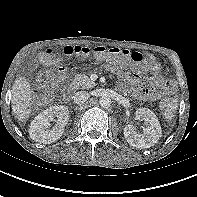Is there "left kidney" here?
Listing matches in <instances>:
<instances>
[{
  "label": "left kidney",
  "instance_id": "left-kidney-1",
  "mask_svg": "<svg viewBox=\"0 0 197 197\" xmlns=\"http://www.w3.org/2000/svg\"><path fill=\"white\" fill-rule=\"evenodd\" d=\"M136 119L145 122L142 132L136 131L132 125L124 128V136L130 146L138 149L154 146L162 136L160 123L153 111L148 108L137 109Z\"/></svg>",
  "mask_w": 197,
  "mask_h": 197
}]
</instances>
